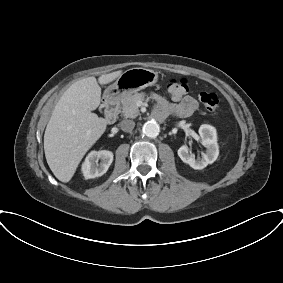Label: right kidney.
Wrapping results in <instances>:
<instances>
[{
    "label": "right kidney",
    "mask_w": 283,
    "mask_h": 283,
    "mask_svg": "<svg viewBox=\"0 0 283 283\" xmlns=\"http://www.w3.org/2000/svg\"><path fill=\"white\" fill-rule=\"evenodd\" d=\"M100 160V163H98ZM113 161V153L107 150L92 151L82 164V172L86 179L105 174Z\"/></svg>",
    "instance_id": "obj_1"
}]
</instances>
